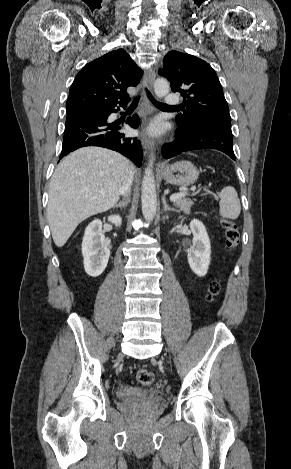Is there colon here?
I'll list each match as a JSON object with an SVG mask.
<instances>
[{
	"mask_svg": "<svg viewBox=\"0 0 291 469\" xmlns=\"http://www.w3.org/2000/svg\"><path fill=\"white\" fill-rule=\"evenodd\" d=\"M221 226L225 232V244L226 247L232 251L239 244V231L236 224L227 218H221ZM221 291V285L218 281H213L210 283L208 288L207 298L213 300L219 295ZM137 381L140 385L147 386L153 383L154 375L151 371L142 369L137 373Z\"/></svg>",
	"mask_w": 291,
	"mask_h": 469,
	"instance_id": "1",
	"label": "colon"
}]
</instances>
